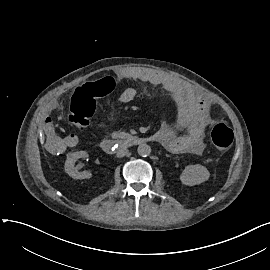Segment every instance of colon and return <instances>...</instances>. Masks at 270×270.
<instances>
[{
    "label": "colon",
    "mask_w": 270,
    "mask_h": 270,
    "mask_svg": "<svg viewBox=\"0 0 270 270\" xmlns=\"http://www.w3.org/2000/svg\"><path fill=\"white\" fill-rule=\"evenodd\" d=\"M111 92L110 85L102 83H87L78 87L70 99V123L80 131H85L95 115L99 98ZM210 136L213 145L219 150L228 149L234 140L233 130L223 122L211 129Z\"/></svg>",
    "instance_id": "1"
}]
</instances>
